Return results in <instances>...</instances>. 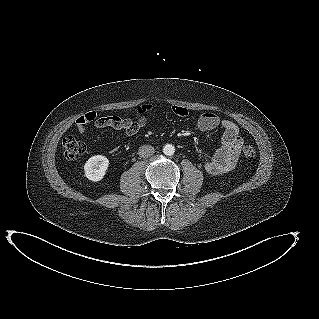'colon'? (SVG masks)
<instances>
[{
	"label": "colon",
	"instance_id": "5ec220e1",
	"mask_svg": "<svg viewBox=\"0 0 319 319\" xmlns=\"http://www.w3.org/2000/svg\"><path fill=\"white\" fill-rule=\"evenodd\" d=\"M94 117V113H87L86 115L81 116L76 123L86 124L89 121H92ZM63 148L64 156L67 159H74L78 155L84 153L86 149L85 144L74 136H66L63 139ZM243 155L246 159L252 160L256 156V150L253 146L247 144L243 147Z\"/></svg>",
	"mask_w": 319,
	"mask_h": 319
}]
</instances>
